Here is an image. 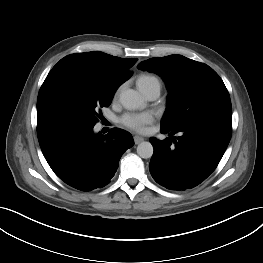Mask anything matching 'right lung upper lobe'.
Here are the masks:
<instances>
[{"mask_svg": "<svg viewBox=\"0 0 263 263\" xmlns=\"http://www.w3.org/2000/svg\"><path fill=\"white\" fill-rule=\"evenodd\" d=\"M137 60L136 58L124 59L100 51H93L68 55L61 59L56 66L68 64L82 65L97 71L113 74L125 82L132 75L128 69L132 67Z\"/></svg>", "mask_w": 263, "mask_h": 263, "instance_id": "right-lung-upper-lobe-1", "label": "right lung upper lobe"}]
</instances>
